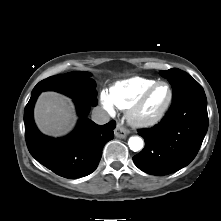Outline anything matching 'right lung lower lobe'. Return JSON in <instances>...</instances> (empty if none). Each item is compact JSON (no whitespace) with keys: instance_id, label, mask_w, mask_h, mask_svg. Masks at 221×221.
Wrapping results in <instances>:
<instances>
[{"instance_id":"1","label":"right lung lower lobe","mask_w":221,"mask_h":221,"mask_svg":"<svg viewBox=\"0 0 221 221\" xmlns=\"http://www.w3.org/2000/svg\"><path fill=\"white\" fill-rule=\"evenodd\" d=\"M40 92H34L25 107V138L29 152L42 165L65 178H80L92 173L98 166L103 146L113 139L115 121L97 125L86 118L90 105L74 100L79 122L75 130L60 139L43 135L33 119V108Z\"/></svg>"}]
</instances>
